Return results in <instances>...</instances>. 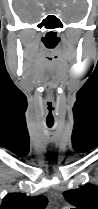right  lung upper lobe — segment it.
Here are the masks:
<instances>
[{"mask_svg":"<svg viewBox=\"0 0 98 209\" xmlns=\"http://www.w3.org/2000/svg\"><path fill=\"white\" fill-rule=\"evenodd\" d=\"M48 200L45 196H27L22 193L7 194L0 209H45Z\"/></svg>","mask_w":98,"mask_h":209,"instance_id":"obj_1","label":"right lung upper lobe"}]
</instances>
